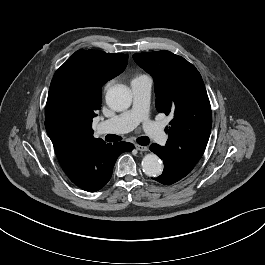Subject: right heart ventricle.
<instances>
[{
    "instance_id": "e07e8e85",
    "label": "right heart ventricle",
    "mask_w": 265,
    "mask_h": 265,
    "mask_svg": "<svg viewBox=\"0 0 265 265\" xmlns=\"http://www.w3.org/2000/svg\"><path fill=\"white\" fill-rule=\"evenodd\" d=\"M142 76H144V74H139V75H137L134 79H136V78H140V77H142Z\"/></svg>"
}]
</instances>
